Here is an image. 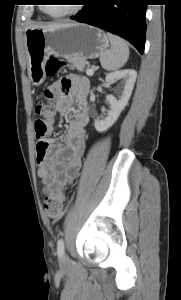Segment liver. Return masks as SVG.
<instances>
[{
    "label": "liver",
    "instance_id": "obj_1",
    "mask_svg": "<svg viewBox=\"0 0 181 300\" xmlns=\"http://www.w3.org/2000/svg\"><path fill=\"white\" fill-rule=\"evenodd\" d=\"M66 24H48V25H36L32 28H36V29H44V30H52V29H55V28H58V27H61V26H64Z\"/></svg>",
    "mask_w": 181,
    "mask_h": 300
}]
</instances>
